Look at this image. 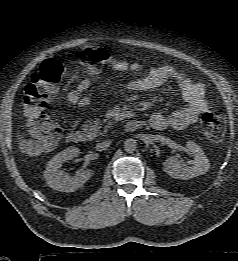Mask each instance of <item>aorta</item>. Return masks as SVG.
Returning <instances> with one entry per match:
<instances>
[{"instance_id":"1","label":"aorta","mask_w":238,"mask_h":261,"mask_svg":"<svg viewBox=\"0 0 238 261\" xmlns=\"http://www.w3.org/2000/svg\"><path fill=\"white\" fill-rule=\"evenodd\" d=\"M137 148V142L135 139L129 138L124 141V150L127 153H133Z\"/></svg>"}]
</instances>
